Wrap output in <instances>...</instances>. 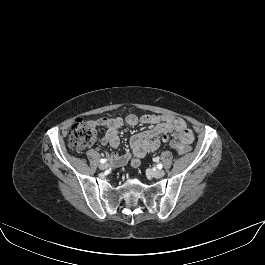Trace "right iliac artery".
<instances>
[{
    "mask_svg": "<svg viewBox=\"0 0 265 265\" xmlns=\"http://www.w3.org/2000/svg\"><path fill=\"white\" fill-rule=\"evenodd\" d=\"M107 161H108L107 159H101V160H100V163L103 164V163H105V162H107Z\"/></svg>",
    "mask_w": 265,
    "mask_h": 265,
    "instance_id": "right-iliac-artery-1",
    "label": "right iliac artery"
}]
</instances>
